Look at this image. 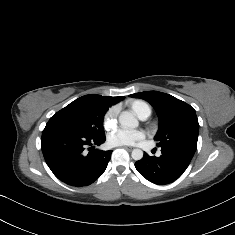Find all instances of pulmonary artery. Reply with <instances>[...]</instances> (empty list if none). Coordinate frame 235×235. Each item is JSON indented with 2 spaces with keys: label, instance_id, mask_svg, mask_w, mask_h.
<instances>
[{
  "label": "pulmonary artery",
  "instance_id": "1",
  "mask_svg": "<svg viewBox=\"0 0 235 235\" xmlns=\"http://www.w3.org/2000/svg\"><path fill=\"white\" fill-rule=\"evenodd\" d=\"M151 114L150 108H144L142 112L138 115L141 120H146Z\"/></svg>",
  "mask_w": 235,
  "mask_h": 235
}]
</instances>
